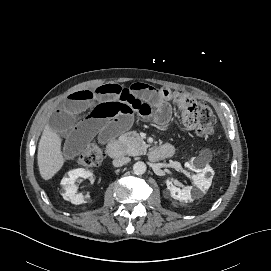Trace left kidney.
Here are the masks:
<instances>
[{"mask_svg":"<svg viewBox=\"0 0 271 271\" xmlns=\"http://www.w3.org/2000/svg\"><path fill=\"white\" fill-rule=\"evenodd\" d=\"M196 174L192 175L194 185L200 190H206L211 186L213 171L209 166L203 169H193ZM167 189L170 191L172 198L183 202L192 201L191 191L192 186H186L183 189L176 187L171 181L166 180Z\"/></svg>","mask_w":271,"mask_h":271,"instance_id":"obj_1","label":"left kidney"}]
</instances>
